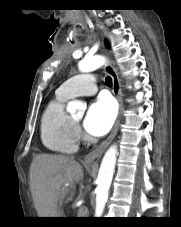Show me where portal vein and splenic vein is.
Listing matches in <instances>:
<instances>
[{
    "mask_svg": "<svg viewBox=\"0 0 181 227\" xmlns=\"http://www.w3.org/2000/svg\"><path fill=\"white\" fill-rule=\"evenodd\" d=\"M84 209H86V210H87V208H86V207L82 206V210H84Z\"/></svg>",
    "mask_w": 181,
    "mask_h": 227,
    "instance_id": "portal-vein-and-splenic-vein-1",
    "label": "portal vein and splenic vein"
}]
</instances>
